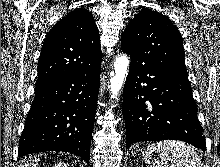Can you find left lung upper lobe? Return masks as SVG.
<instances>
[{"label":"left lung upper lobe","instance_id":"left-lung-upper-lobe-1","mask_svg":"<svg viewBox=\"0 0 220 167\" xmlns=\"http://www.w3.org/2000/svg\"><path fill=\"white\" fill-rule=\"evenodd\" d=\"M122 49L141 65L187 74L181 34L157 11L143 9L129 22L122 35Z\"/></svg>","mask_w":220,"mask_h":167}]
</instances>
